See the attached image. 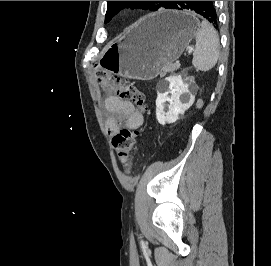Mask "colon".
<instances>
[{"mask_svg":"<svg viewBox=\"0 0 271 266\" xmlns=\"http://www.w3.org/2000/svg\"><path fill=\"white\" fill-rule=\"evenodd\" d=\"M95 79L100 88L106 93L117 96L122 100L132 102L142 110L146 108V99L142 91L127 81L114 76L103 68H95ZM138 132L122 128L112 138V145L121 163L128 168L130 154L137 143Z\"/></svg>","mask_w":271,"mask_h":266,"instance_id":"1","label":"colon"}]
</instances>
